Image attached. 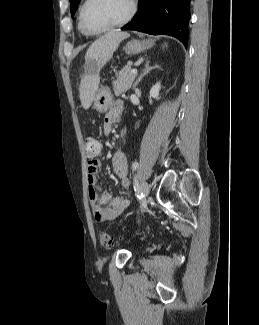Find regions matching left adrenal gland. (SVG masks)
<instances>
[{
    "label": "left adrenal gland",
    "instance_id": "a2214340",
    "mask_svg": "<svg viewBox=\"0 0 259 325\" xmlns=\"http://www.w3.org/2000/svg\"><path fill=\"white\" fill-rule=\"evenodd\" d=\"M150 61H146L145 65H144V70L143 73L138 77V79L136 80L135 84H134V88L137 87V85L139 84V82L142 80V78L147 75L148 73H150V71H152L155 68H158L157 65L151 67L149 65Z\"/></svg>",
    "mask_w": 259,
    "mask_h": 325
}]
</instances>
